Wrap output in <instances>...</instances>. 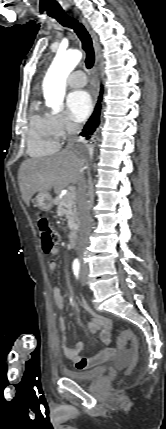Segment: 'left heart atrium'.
I'll return each instance as SVG.
<instances>
[{
  "label": "left heart atrium",
  "mask_w": 166,
  "mask_h": 429,
  "mask_svg": "<svg viewBox=\"0 0 166 429\" xmlns=\"http://www.w3.org/2000/svg\"><path fill=\"white\" fill-rule=\"evenodd\" d=\"M69 117L75 122H83L91 112L92 100L85 90L71 92L66 100Z\"/></svg>",
  "instance_id": "obj_1"
}]
</instances>
